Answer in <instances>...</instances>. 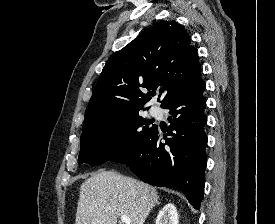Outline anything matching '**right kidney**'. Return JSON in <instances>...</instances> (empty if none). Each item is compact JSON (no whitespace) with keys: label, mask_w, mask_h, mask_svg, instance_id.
Listing matches in <instances>:
<instances>
[{"label":"right kidney","mask_w":275,"mask_h":224,"mask_svg":"<svg viewBox=\"0 0 275 224\" xmlns=\"http://www.w3.org/2000/svg\"><path fill=\"white\" fill-rule=\"evenodd\" d=\"M156 224H179L178 212L174 204H166L156 218Z\"/></svg>","instance_id":"ca27d5eb"}]
</instances>
